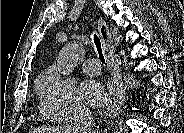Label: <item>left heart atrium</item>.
I'll return each mask as SVG.
<instances>
[{"label":"left heart atrium","instance_id":"left-heart-atrium-1","mask_svg":"<svg viewBox=\"0 0 184 133\" xmlns=\"http://www.w3.org/2000/svg\"><path fill=\"white\" fill-rule=\"evenodd\" d=\"M81 98L91 106H99L104 103L106 95L102 85L95 80H86L80 86Z\"/></svg>","mask_w":184,"mask_h":133}]
</instances>
